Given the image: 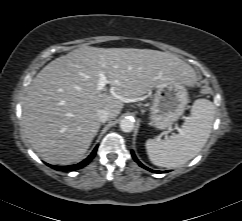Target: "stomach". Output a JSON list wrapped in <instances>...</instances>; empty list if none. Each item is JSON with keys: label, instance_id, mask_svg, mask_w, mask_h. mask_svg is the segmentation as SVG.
Returning <instances> with one entry per match:
<instances>
[{"label": "stomach", "instance_id": "obj_1", "mask_svg": "<svg viewBox=\"0 0 242 221\" xmlns=\"http://www.w3.org/2000/svg\"><path fill=\"white\" fill-rule=\"evenodd\" d=\"M189 101L187 88L180 80H168L155 87L150 120L154 127L166 129L184 113Z\"/></svg>", "mask_w": 242, "mask_h": 221}]
</instances>
